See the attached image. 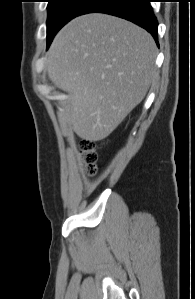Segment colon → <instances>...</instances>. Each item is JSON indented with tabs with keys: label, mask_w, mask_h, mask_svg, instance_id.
Here are the masks:
<instances>
[{
	"label": "colon",
	"mask_w": 195,
	"mask_h": 299,
	"mask_svg": "<svg viewBox=\"0 0 195 299\" xmlns=\"http://www.w3.org/2000/svg\"><path fill=\"white\" fill-rule=\"evenodd\" d=\"M80 149L85 162L86 173L93 175L96 170L98 153L96 144L92 139L83 138L80 143Z\"/></svg>",
	"instance_id": "1"
}]
</instances>
